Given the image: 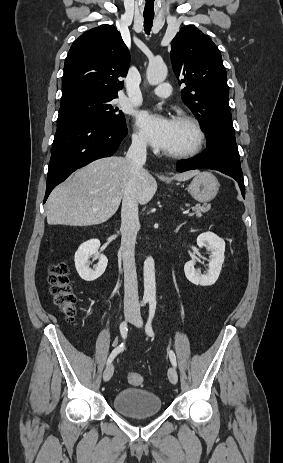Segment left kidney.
<instances>
[{"label":"left kidney","mask_w":283,"mask_h":463,"mask_svg":"<svg viewBox=\"0 0 283 463\" xmlns=\"http://www.w3.org/2000/svg\"><path fill=\"white\" fill-rule=\"evenodd\" d=\"M197 245L211 251L209 269L202 275L195 269V261L190 260L184 265L186 278L195 285L211 286L217 281L224 262L225 241L212 232H205L197 237Z\"/></svg>","instance_id":"obj_1"}]
</instances>
